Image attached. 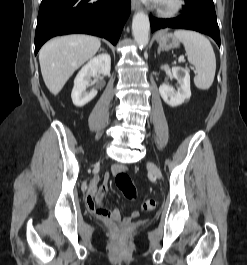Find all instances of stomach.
<instances>
[{"label": "stomach", "instance_id": "stomach-1", "mask_svg": "<svg viewBox=\"0 0 247 265\" xmlns=\"http://www.w3.org/2000/svg\"><path fill=\"white\" fill-rule=\"evenodd\" d=\"M157 42L162 49H174L180 46V40L173 34L167 32H160L157 37Z\"/></svg>", "mask_w": 247, "mask_h": 265}]
</instances>
